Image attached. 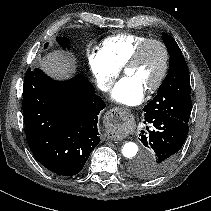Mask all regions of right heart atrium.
<instances>
[{"instance_id": "1", "label": "right heart atrium", "mask_w": 211, "mask_h": 211, "mask_svg": "<svg viewBox=\"0 0 211 211\" xmlns=\"http://www.w3.org/2000/svg\"><path fill=\"white\" fill-rule=\"evenodd\" d=\"M87 61L97 86L106 91L118 77L120 68L114 66L100 49H91Z\"/></svg>"}]
</instances>
